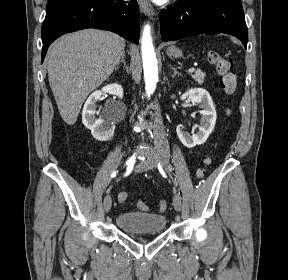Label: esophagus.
<instances>
[{
    "instance_id": "esophagus-1",
    "label": "esophagus",
    "mask_w": 288,
    "mask_h": 280,
    "mask_svg": "<svg viewBox=\"0 0 288 280\" xmlns=\"http://www.w3.org/2000/svg\"><path fill=\"white\" fill-rule=\"evenodd\" d=\"M139 5L142 12L150 18L154 16V9L150 4L149 0H139Z\"/></svg>"
}]
</instances>
